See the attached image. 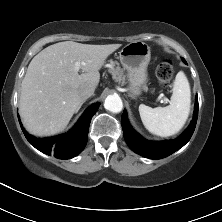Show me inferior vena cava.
Here are the masks:
<instances>
[{"label":"inferior vena cava","instance_id":"1","mask_svg":"<svg viewBox=\"0 0 222 222\" xmlns=\"http://www.w3.org/2000/svg\"><path fill=\"white\" fill-rule=\"evenodd\" d=\"M95 87L93 85H85L80 87L79 95L82 99H87L94 94Z\"/></svg>","mask_w":222,"mask_h":222}]
</instances>
